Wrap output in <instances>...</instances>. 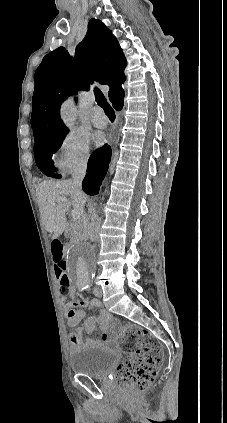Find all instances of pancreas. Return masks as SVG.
<instances>
[{"label":"pancreas","mask_w":227,"mask_h":423,"mask_svg":"<svg viewBox=\"0 0 227 423\" xmlns=\"http://www.w3.org/2000/svg\"><path fill=\"white\" fill-rule=\"evenodd\" d=\"M71 227L73 233L71 241H74V237H76V235H78V237H80V235H84L85 225L81 219H76L74 223H71Z\"/></svg>","instance_id":"obj_1"}]
</instances>
